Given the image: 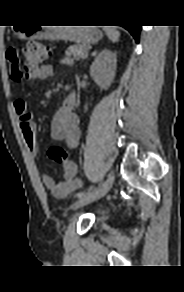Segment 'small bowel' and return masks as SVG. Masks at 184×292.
I'll return each mask as SVG.
<instances>
[{
	"label": "small bowel",
	"mask_w": 184,
	"mask_h": 292,
	"mask_svg": "<svg viewBox=\"0 0 184 292\" xmlns=\"http://www.w3.org/2000/svg\"><path fill=\"white\" fill-rule=\"evenodd\" d=\"M64 64H69L68 60H63ZM54 69L49 64H43L34 69L30 78L33 80H44L52 77ZM75 95L70 94L64 104L55 112L52 124L51 134L56 141H61L73 150L76 149L80 141V130L78 126V117L73 113L75 104ZM14 110L19 118L20 128L31 155L35 156L38 151L37 129L33 121L32 114L28 111L26 102L22 99L14 101ZM64 181L56 183L49 174L42 175V182L51 193L56 197H63L81 187L82 181L78 176V168L75 162L68 161L63 164Z\"/></svg>",
	"instance_id": "small-bowel-1"
}]
</instances>
